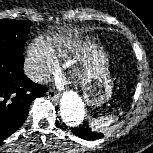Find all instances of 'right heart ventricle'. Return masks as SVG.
I'll use <instances>...</instances> for the list:
<instances>
[{
    "label": "right heart ventricle",
    "instance_id": "right-heart-ventricle-1",
    "mask_svg": "<svg viewBox=\"0 0 153 153\" xmlns=\"http://www.w3.org/2000/svg\"><path fill=\"white\" fill-rule=\"evenodd\" d=\"M47 46L55 60L64 59L68 55L66 44L60 40L51 39Z\"/></svg>",
    "mask_w": 153,
    "mask_h": 153
}]
</instances>
